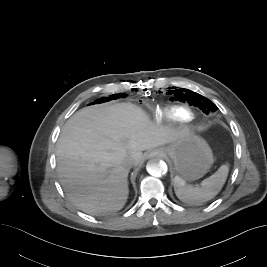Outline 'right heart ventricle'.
<instances>
[{
	"mask_svg": "<svg viewBox=\"0 0 267 267\" xmlns=\"http://www.w3.org/2000/svg\"><path fill=\"white\" fill-rule=\"evenodd\" d=\"M155 114L159 117H168L180 124H186L190 122L193 118L192 112L183 106H173L169 108H160Z\"/></svg>",
	"mask_w": 267,
	"mask_h": 267,
	"instance_id": "e07e8e85",
	"label": "right heart ventricle"
}]
</instances>
